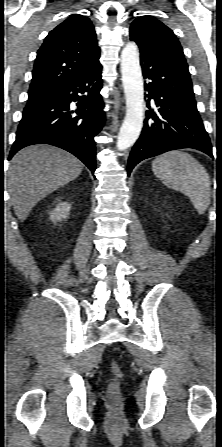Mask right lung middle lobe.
<instances>
[{
  "mask_svg": "<svg viewBox=\"0 0 222 447\" xmlns=\"http://www.w3.org/2000/svg\"><path fill=\"white\" fill-rule=\"evenodd\" d=\"M38 102H40V101H38V100H32V99H29V101H28V104H27V105L35 104V103H38Z\"/></svg>",
  "mask_w": 222,
  "mask_h": 447,
  "instance_id": "dd1d6c3e",
  "label": "right lung middle lobe"
}]
</instances>
